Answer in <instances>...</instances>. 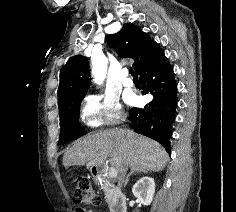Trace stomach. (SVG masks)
Listing matches in <instances>:
<instances>
[{"label": "stomach", "mask_w": 236, "mask_h": 212, "mask_svg": "<svg viewBox=\"0 0 236 212\" xmlns=\"http://www.w3.org/2000/svg\"><path fill=\"white\" fill-rule=\"evenodd\" d=\"M93 167H90V172L92 173V174H96V172H93Z\"/></svg>", "instance_id": "obj_1"}]
</instances>
